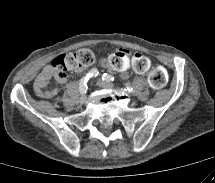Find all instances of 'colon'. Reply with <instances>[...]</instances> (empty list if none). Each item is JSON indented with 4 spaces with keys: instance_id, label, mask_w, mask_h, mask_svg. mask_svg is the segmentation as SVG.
Returning <instances> with one entry per match:
<instances>
[{
    "instance_id": "1",
    "label": "colon",
    "mask_w": 215,
    "mask_h": 183,
    "mask_svg": "<svg viewBox=\"0 0 215 183\" xmlns=\"http://www.w3.org/2000/svg\"><path fill=\"white\" fill-rule=\"evenodd\" d=\"M93 62L94 54L89 49H80L76 52L61 54L51 62L46 78H63L68 71L81 70L89 67ZM148 82L153 88L163 87L167 82L166 70L162 67L151 70L148 74Z\"/></svg>"
}]
</instances>
